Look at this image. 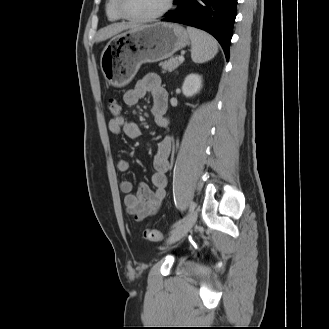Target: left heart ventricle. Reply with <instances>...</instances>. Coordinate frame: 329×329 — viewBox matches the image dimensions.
<instances>
[{"label": "left heart ventricle", "instance_id": "obj_1", "mask_svg": "<svg viewBox=\"0 0 329 329\" xmlns=\"http://www.w3.org/2000/svg\"><path fill=\"white\" fill-rule=\"evenodd\" d=\"M166 0H123L127 13L138 16H148L160 11Z\"/></svg>", "mask_w": 329, "mask_h": 329}]
</instances>
